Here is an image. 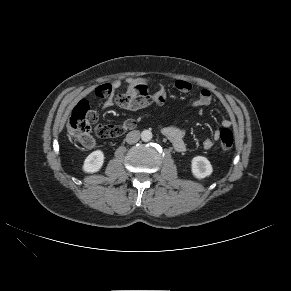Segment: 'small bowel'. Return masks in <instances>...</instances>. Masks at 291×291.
<instances>
[{"mask_svg": "<svg viewBox=\"0 0 291 291\" xmlns=\"http://www.w3.org/2000/svg\"><path fill=\"white\" fill-rule=\"evenodd\" d=\"M145 80L141 78H129L126 81L127 89L124 93H117V90L121 86L120 80H115L112 83H107L99 86L97 89H101L104 92L106 99L102 105L103 109H109L113 106L125 110H139L150 106L151 104L162 105L165 102L166 92L163 86H158L153 93L147 90L144 85ZM175 88L180 92H189L192 90V85L186 80H177L174 83ZM96 89V90H97ZM213 100V95L210 90L204 88L200 91L198 97L192 102V108H201L210 105ZM222 125L225 128L231 126L229 119H224ZM161 131L164 136L172 143L173 147L178 152H185L187 149L184 130L177 124H170L163 126ZM219 131H215L213 139L219 138ZM204 149H210L213 146L212 139H205L202 142Z\"/></svg>", "mask_w": 291, "mask_h": 291, "instance_id": "1", "label": "small bowel"}]
</instances>
